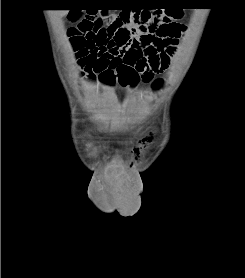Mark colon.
Segmentation results:
<instances>
[{"label":"colon","mask_w":245,"mask_h":278,"mask_svg":"<svg viewBox=\"0 0 245 278\" xmlns=\"http://www.w3.org/2000/svg\"><path fill=\"white\" fill-rule=\"evenodd\" d=\"M173 15L178 17L179 13L175 12ZM68 21L72 24L67 36L73 51L78 56L82 51L92 59L103 57L105 54L104 49H96L95 44L102 46L108 40H112L111 44L121 48L130 47L134 50L138 47H149L147 50L149 54H163L166 51H173L181 38V32L175 22L162 17L157 10L150 8L122 10L114 19L105 22L81 19L80 14L74 12L68 16ZM81 32L88 34L85 46L79 39ZM130 83L133 85L135 79ZM126 84V81H122L123 86ZM158 86L159 81H156L153 88L156 89ZM145 147L146 140H140L136 149L141 152Z\"/></svg>","instance_id":"5ec220e1"}]
</instances>
